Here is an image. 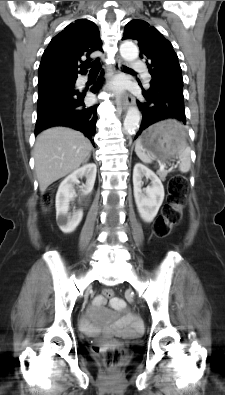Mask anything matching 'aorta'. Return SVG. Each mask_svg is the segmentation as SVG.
<instances>
[{"label":"aorta","instance_id":"1","mask_svg":"<svg viewBox=\"0 0 225 395\" xmlns=\"http://www.w3.org/2000/svg\"><path fill=\"white\" fill-rule=\"evenodd\" d=\"M120 54L126 61H134L139 55L138 48L132 42H123L120 46ZM140 123V112L137 108L131 107L128 109L124 119V129L127 132H134Z\"/></svg>","mask_w":225,"mask_h":395}]
</instances>
